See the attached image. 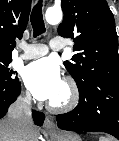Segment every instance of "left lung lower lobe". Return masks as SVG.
I'll return each instance as SVG.
<instances>
[{
  "label": "left lung lower lobe",
  "instance_id": "obj_1",
  "mask_svg": "<svg viewBox=\"0 0 119 141\" xmlns=\"http://www.w3.org/2000/svg\"><path fill=\"white\" fill-rule=\"evenodd\" d=\"M78 106L57 116L67 131L106 132L119 139V76H101L79 90Z\"/></svg>",
  "mask_w": 119,
  "mask_h": 141
}]
</instances>
